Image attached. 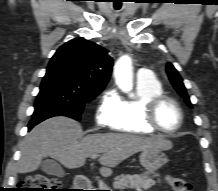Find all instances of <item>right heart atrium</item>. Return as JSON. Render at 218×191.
Masks as SVG:
<instances>
[{
  "label": "right heart atrium",
  "mask_w": 218,
  "mask_h": 191,
  "mask_svg": "<svg viewBox=\"0 0 218 191\" xmlns=\"http://www.w3.org/2000/svg\"><path fill=\"white\" fill-rule=\"evenodd\" d=\"M120 102L121 98L114 89L106 90L96 108V124L100 127L111 126L118 113Z\"/></svg>",
  "instance_id": "d8ad5b80"
}]
</instances>
